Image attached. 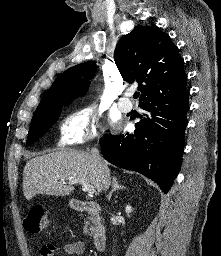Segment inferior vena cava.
Wrapping results in <instances>:
<instances>
[{
    "label": "inferior vena cava",
    "mask_w": 221,
    "mask_h": 256,
    "mask_svg": "<svg viewBox=\"0 0 221 256\" xmlns=\"http://www.w3.org/2000/svg\"><path fill=\"white\" fill-rule=\"evenodd\" d=\"M91 154H92V156H93L97 161H99L100 167H103V165L100 163L101 157H100V155H99L98 149L95 148V147L92 148V149H91ZM110 183H111V181H110V174L107 173L106 171H103L102 184H103V188H104L105 191L109 188Z\"/></svg>",
    "instance_id": "obj_1"
}]
</instances>
